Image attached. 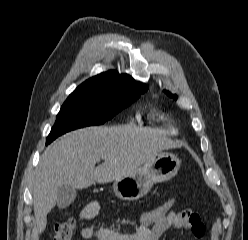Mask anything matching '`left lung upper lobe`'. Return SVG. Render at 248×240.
Segmentation results:
<instances>
[{"label": "left lung upper lobe", "instance_id": "left-lung-upper-lobe-1", "mask_svg": "<svg viewBox=\"0 0 248 240\" xmlns=\"http://www.w3.org/2000/svg\"><path fill=\"white\" fill-rule=\"evenodd\" d=\"M166 93H167L170 97L174 98L175 100L177 99V96H176V95H172L171 93H169V92H167V91H166Z\"/></svg>", "mask_w": 248, "mask_h": 240}]
</instances>
